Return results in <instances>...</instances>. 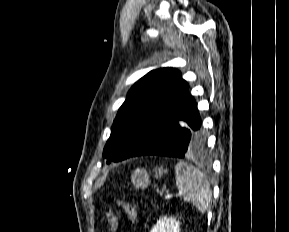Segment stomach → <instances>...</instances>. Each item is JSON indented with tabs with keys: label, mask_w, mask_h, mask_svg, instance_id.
I'll return each mask as SVG.
<instances>
[{
	"label": "stomach",
	"mask_w": 289,
	"mask_h": 232,
	"mask_svg": "<svg viewBox=\"0 0 289 232\" xmlns=\"http://www.w3.org/2000/svg\"><path fill=\"white\" fill-rule=\"evenodd\" d=\"M165 172L162 166L154 169L156 178L161 177ZM131 181L136 188H146L150 184L149 174L145 169L137 168L131 175Z\"/></svg>",
	"instance_id": "obj_1"
}]
</instances>
